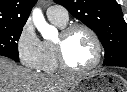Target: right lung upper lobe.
<instances>
[{
  "mask_svg": "<svg viewBox=\"0 0 127 92\" xmlns=\"http://www.w3.org/2000/svg\"><path fill=\"white\" fill-rule=\"evenodd\" d=\"M37 0H0V26H24Z\"/></svg>",
  "mask_w": 127,
  "mask_h": 92,
  "instance_id": "1",
  "label": "right lung upper lobe"
}]
</instances>
